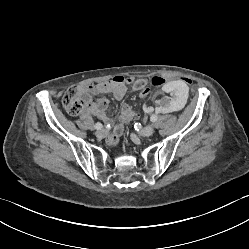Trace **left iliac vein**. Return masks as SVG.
<instances>
[{"label":"left iliac vein","instance_id":"left-iliac-vein-1","mask_svg":"<svg viewBox=\"0 0 249 249\" xmlns=\"http://www.w3.org/2000/svg\"><path fill=\"white\" fill-rule=\"evenodd\" d=\"M154 132V126L153 125H147L146 127H144L141 131H140V135L142 137H149L153 134Z\"/></svg>","mask_w":249,"mask_h":249}]
</instances>
